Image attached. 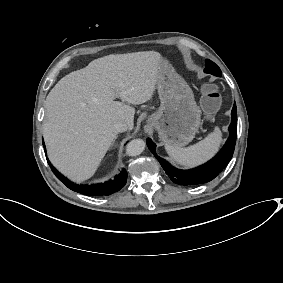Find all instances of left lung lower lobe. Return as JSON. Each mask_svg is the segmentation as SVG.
<instances>
[{
	"instance_id": "1",
	"label": "left lung lower lobe",
	"mask_w": 283,
	"mask_h": 283,
	"mask_svg": "<svg viewBox=\"0 0 283 283\" xmlns=\"http://www.w3.org/2000/svg\"><path fill=\"white\" fill-rule=\"evenodd\" d=\"M231 115L232 121L229 126L230 136L223 148L210 161L190 170H179L171 166L167 161L156 154V145L150 138L147 139V145L150 151L158 159L172 182L184 186L203 184L213 180L226 167L232 158L236 143L237 109L235 103Z\"/></svg>"
}]
</instances>
